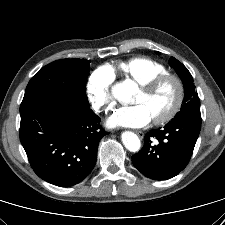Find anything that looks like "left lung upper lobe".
<instances>
[{"label":"left lung upper lobe","instance_id":"obj_1","mask_svg":"<svg viewBox=\"0 0 225 225\" xmlns=\"http://www.w3.org/2000/svg\"><path fill=\"white\" fill-rule=\"evenodd\" d=\"M170 65L175 68V71L180 76L184 84L185 96L181 110L175 115L174 120H181L185 118H199L200 114V100L193 84V77L187 68L174 57L169 60Z\"/></svg>","mask_w":225,"mask_h":225}]
</instances>
